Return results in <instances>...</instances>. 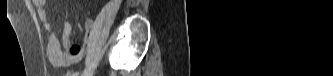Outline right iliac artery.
Returning <instances> with one entry per match:
<instances>
[{"label": "right iliac artery", "mask_w": 333, "mask_h": 76, "mask_svg": "<svg viewBox=\"0 0 333 76\" xmlns=\"http://www.w3.org/2000/svg\"><path fill=\"white\" fill-rule=\"evenodd\" d=\"M79 72H73L72 76H78Z\"/></svg>", "instance_id": "right-iliac-artery-1"}]
</instances>
